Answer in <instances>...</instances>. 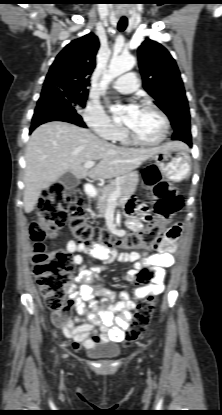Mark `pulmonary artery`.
<instances>
[{
    "label": "pulmonary artery",
    "mask_w": 222,
    "mask_h": 415,
    "mask_svg": "<svg viewBox=\"0 0 222 415\" xmlns=\"http://www.w3.org/2000/svg\"><path fill=\"white\" fill-rule=\"evenodd\" d=\"M113 87L122 93H131L138 87V80L134 73H127L113 82Z\"/></svg>",
    "instance_id": "pulmonary-artery-1"
}]
</instances>
